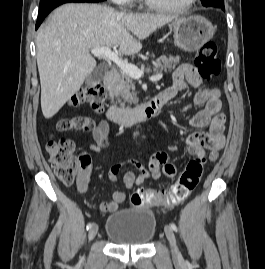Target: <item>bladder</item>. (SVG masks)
<instances>
[{
    "mask_svg": "<svg viewBox=\"0 0 265 269\" xmlns=\"http://www.w3.org/2000/svg\"><path fill=\"white\" fill-rule=\"evenodd\" d=\"M157 221L152 209L125 208L111 214L105 233L114 244L146 246L156 234Z\"/></svg>",
    "mask_w": 265,
    "mask_h": 269,
    "instance_id": "31cf9c89",
    "label": "bladder"
}]
</instances>
